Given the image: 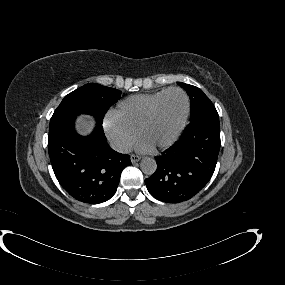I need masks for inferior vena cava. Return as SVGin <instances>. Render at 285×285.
<instances>
[{"instance_id":"1","label":"inferior vena cava","mask_w":285,"mask_h":285,"mask_svg":"<svg viewBox=\"0 0 285 285\" xmlns=\"http://www.w3.org/2000/svg\"><path fill=\"white\" fill-rule=\"evenodd\" d=\"M110 147L119 153H130L132 151V143L121 138L112 139Z\"/></svg>"}]
</instances>
